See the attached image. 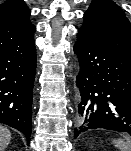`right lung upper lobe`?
Returning a JSON list of instances; mask_svg holds the SVG:
<instances>
[{
    "mask_svg": "<svg viewBox=\"0 0 131 151\" xmlns=\"http://www.w3.org/2000/svg\"><path fill=\"white\" fill-rule=\"evenodd\" d=\"M30 9L23 0H9L0 5V37L21 36L35 30Z\"/></svg>",
    "mask_w": 131,
    "mask_h": 151,
    "instance_id": "right-lung-upper-lobe-1",
    "label": "right lung upper lobe"
}]
</instances>
